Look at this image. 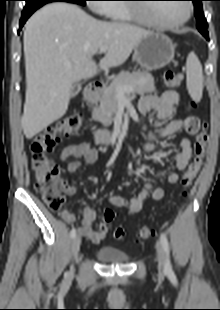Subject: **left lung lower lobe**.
I'll use <instances>...</instances> for the list:
<instances>
[{
    "label": "left lung lower lobe",
    "instance_id": "0a47b994",
    "mask_svg": "<svg viewBox=\"0 0 220 310\" xmlns=\"http://www.w3.org/2000/svg\"><path fill=\"white\" fill-rule=\"evenodd\" d=\"M207 40L209 39L208 34L203 35Z\"/></svg>",
    "mask_w": 220,
    "mask_h": 310
}]
</instances>
